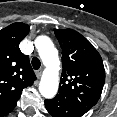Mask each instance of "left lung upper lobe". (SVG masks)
I'll list each match as a JSON object with an SVG mask.
<instances>
[{"instance_id": "obj_1", "label": "left lung upper lobe", "mask_w": 117, "mask_h": 117, "mask_svg": "<svg viewBox=\"0 0 117 117\" xmlns=\"http://www.w3.org/2000/svg\"><path fill=\"white\" fill-rule=\"evenodd\" d=\"M62 49V78L57 97L84 112L99 100L105 82L102 58L92 44L72 29H55Z\"/></svg>"}]
</instances>
